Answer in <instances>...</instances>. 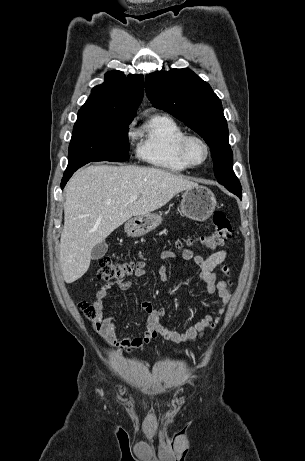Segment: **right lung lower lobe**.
Instances as JSON below:
<instances>
[{
	"mask_svg": "<svg viewBox=\"0 0 305 461\" xmlns=\"http://www.w3.org/2000/svg\"><path fill=\"white\" fill-rule=\"evenodd\" d=\"M79 167H73V168H68L64 172V177L62 178L61 182V188H64L65 184L69 180V178L72 176V174L78 169Z\"/></svg>",
	"mask_w": 305,
	"mask_h": 461,
	"instance_id": "98d812e1",
	"label": "right lung lower lobe"
}]
</instances>
